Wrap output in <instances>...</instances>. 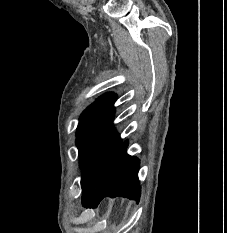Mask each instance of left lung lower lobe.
<instances>
[{
    "instance_id": "1",
    "label": "left lung lower lobe",
    "mask_w": 227,
    "mask_h": 233,
    "mask_svg": "<svg viewBox=\"0 0 227 233\" xmlns=\"http://www.w3.org/2000/svg\"><path fill=\"white\" fill-rule=\"evenodd\" d=\"M127 146L128 141L121 143L103 174L99 187L94 193L82 198L84 207H96L105 196H122L139 201V160L126 153Z\"/></svg>"
}]
</instances>
